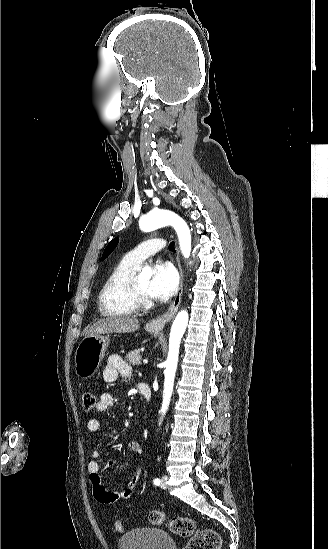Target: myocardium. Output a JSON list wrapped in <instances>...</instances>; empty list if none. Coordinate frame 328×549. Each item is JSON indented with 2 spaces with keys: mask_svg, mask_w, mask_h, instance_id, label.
<instances>
[{
  "mask_svg": "<svg viewBox=\"0 0 328 549\" xmlns=\"http://www.w3.org/2000/svg\"><path fill=\"white\" fill-rule=\"evenodd\" d=\"M151 262L140 263L136 271L128 277L124 286V297L129 304L123 305L122 308L133 311L135 313L147 310L151 307L152 301L150 298L143 296L137 287V277L141 271L151 266Z\"/></svg>",
  "mask_w": 328,
  "mask_h": 549,
  "instance_id": "1",
  "label": "myocardium"
}]
</instances>
